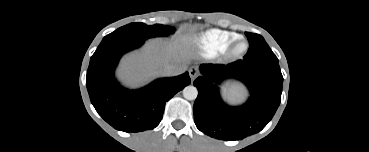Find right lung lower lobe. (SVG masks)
Returning <instances> with one entry per match:
<instances>
[{"label": "right lung lower lobe", "mask_w": 369, "mask_h": 152, "mask_svg": "<svg viewBox=\"0 0 369 152\" xmlns=\"http://www.w3.org/2000/svg\"><path fill=\"white\" fill-rule=\"evenodd\" d=\"M144 42L129 35L105 37L90 59L86 77L90 100L98 114L117 130L139 132L155 128L162 119L165 103L191 83L186 72L158 79L136 91L121 87L114 78L119 59Z\"/></svg>", "instance_id": "right-lung-lower-lobe-1"}]
</instances>
